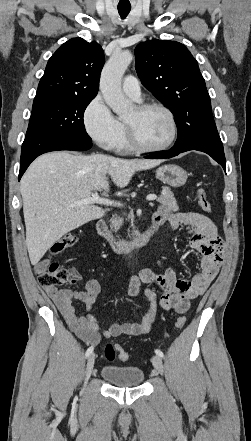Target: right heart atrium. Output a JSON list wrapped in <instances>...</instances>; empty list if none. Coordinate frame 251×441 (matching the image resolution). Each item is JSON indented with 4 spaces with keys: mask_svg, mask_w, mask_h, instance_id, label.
I'll return each mask as SVG.
<instances>
[{
    "mask_svg": "<svg viewBox=\"0 0 251 441\" xmlns=\"http://www.w3.org/2000/svg\"><path fill=\"white\" fill-rule=\"evenodd\" d=\"M83 122L90 138L104 148H113L123 131L122 123L100 95H96L86 106Z\"/></svg>",
    "mask_w": 251,
    "mask_h": 441,
    "instance_id": "right-heart-atrium-1",
    "label": "right heart atrium"
}]
</instances>
